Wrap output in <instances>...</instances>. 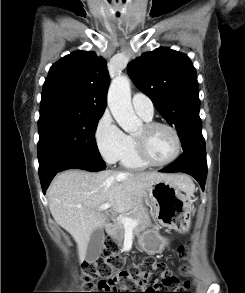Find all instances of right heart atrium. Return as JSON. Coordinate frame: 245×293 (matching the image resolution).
<instances>
[{"mask_svg":"<svg viewBox=\"0 0 245 293\" xmlns=\"http://www.w3.org/2000/svg\"><path fill=\"white\" fill-rule=\"evenodd\" d=\"M94 138L100 154L109 163L120 160L130 147V137L109 114H104L99 119Z\"/></svg>","mask_w":245,"mask_h":293,"instance_id":"right-heart-atrium-1","label":"right heart atrium"}]
</instances>
